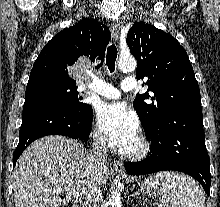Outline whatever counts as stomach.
Wrapping results in <instances>:
<instances>
[{"mask_svg": "<svg viewBox=\"0 0 220 207\" xmlns=\"http://www.w3.org/2000/svg\"><path fill=\"white\" fill-rule=\"evenodd\" d=\"M140 188L148 195L154 197L161 193V185L157 179L149 177L142 183H138Z\"/></svg>", "mask_w": 220, "mask_h": 207, "instance_id": "obj_1", "label": "stomach"}]
</instances>
